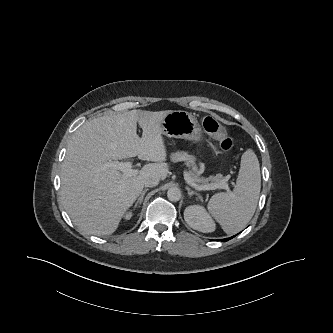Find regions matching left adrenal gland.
<instances>
[{
	"instance_id": "left-adrenal-gland-1",
	"label": "left adrenal gland",
	"mask_w": 333,
	"mask_h": 333,
	"mask_svg": "<svg viewBox=\"0 0 333 333\" xmlns=\"http://www.w3.org/2000/svg\"><path fill=\"white\" fill-rule=\"evenodd\" d=\"M186 190H187L189 196L196 195V196H198L200 198L199 193L191 190L189 187H186Z\"/></svg>"
}]
</instances>
